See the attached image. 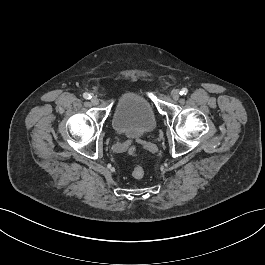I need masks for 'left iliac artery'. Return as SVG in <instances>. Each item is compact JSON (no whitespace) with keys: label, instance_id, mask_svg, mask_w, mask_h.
Wrapping results in <instances>:
<instances>
[{"label":"left iliac artery","instance_id":"44dca946","mask_svg":"<svg viewBox=\"0 0 265 265\" xmlns=\"http://www.w3.org/2000/svg\"><path fill=\"white\" fill-rule=\"evenodd\" d=\"M188 92V90L186 88H183L181 91H180V94L181 95H186Z\"/></svg>","mask_w":265,"mask_h":265}]
</instances>
